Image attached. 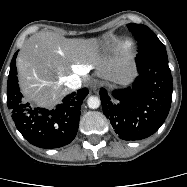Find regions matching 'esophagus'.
<instances>
[{"mask_svg": "<svg viewBox=\"0 0 187 187\" xmlns=\"http://www.w3.org/2000/svg\"><path fill=\"white\" fill-rule=\"evenodd\" d=\"M102 86L101 82L99 80H92L90 82V87L92 90L96 91L97 89H99Z\"/></svg>", "mask_w": 187, "mask_h": 187, "instance_id": "1", "label": "esophagus"}]
</instances>
